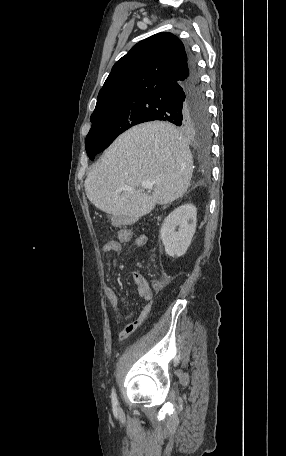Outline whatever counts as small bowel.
Returning <instances> with one entry per match:
<instances>
[{"label":"small bowel","mask_w":286,"mask_h":456,"mask_svg":"<svg viewBox=\"0 0 286 456\" xmlns=\"http://www.w3.org/2000/svg\"><path fill=\"white\" fill-rule=\"evenodd\" d=\"M131 239V232L128 229L118 231L116 239H111L103 244L102 251L107 255L120 254L122 252V243L128 242ZM148 237L144 234L138 235L135 239V246L143 248L147 245ZM132 281L136 286V292L143 300V307L138 317L127 324L120 332V339H126L132 334L139 325H141L152 309L153 290L143 275L134 271L131 274ZM105 295L107 301L113 308L119 320H127L132 317V314H123L119 306V298L116 291L112 288H106Z\"/></svg>","instance_id":"small-bowel-1"}]
</instances>
